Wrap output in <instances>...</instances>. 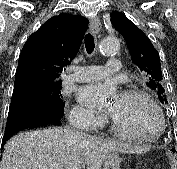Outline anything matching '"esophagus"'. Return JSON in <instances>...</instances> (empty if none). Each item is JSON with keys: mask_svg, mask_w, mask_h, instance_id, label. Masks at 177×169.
Instances as JSON below:
<instances>
[{"mask_svg": "<svg viewBox=\"0 0 177 169\" xmlns=\"http://www.w3.org/2000/svg\"><path fill=\"white\" fill-rule=\"evenodd\" d=\"M89 29L93 34H98L101 30V22L98 17H94L90 20Z\"/></svg>", "mask_w": 177, "mask_h": 169, "instance_id": "1", "label": "esophagus"}]
</instances>
